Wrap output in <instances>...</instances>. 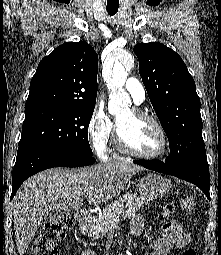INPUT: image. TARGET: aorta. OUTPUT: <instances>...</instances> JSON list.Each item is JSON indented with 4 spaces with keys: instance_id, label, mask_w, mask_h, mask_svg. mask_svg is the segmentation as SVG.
I'll use <instances>...</instances> for the list:
<instances>
[{
    "instance_id": "762f6f07",
    "label": "aorta",
    "mask_w": 221,
    "mask_h": 255,
    "mask_svg": "<svg viewBox=\"0 0 221 255\" xmlns=\"http://www.w3.org/2000/svg\"><path fill=\"white\" fill-rule=\"evenodd\" d=\"M134 58L130 53L122 55V61L116 60L113 68H106L104 71V79L110 91L108 110L111 114H123L130 106L131 101L128 94L124 91L123 86L127 79L128 70L133 68Z\"/></svg>"
}]
</instances>
